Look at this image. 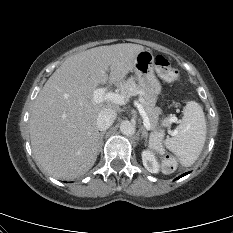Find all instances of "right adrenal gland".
<instances>
[{"label":"right adrenal gland","instance_id":"obj_1","mask_svg":"<svg viewBox=\"0 0 233 233\" xmlns=\"http://www.w3.org/2000/svg\"><path fill=\"white\" fill-rule=\"evenodd\" d=\"M104 134H105V131L100 133V140H99V143L101 144L102 141H103V137H104Z\"/></svg>","mask_w":233,"mask_h":233}]
</instances>
